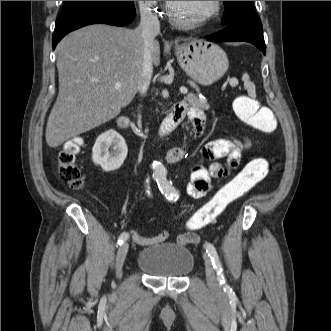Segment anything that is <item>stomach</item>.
I'll list each match as a JSON object with an SVG mask.
<instances>
[{
	"instance_id": "stomach-1",
	"label": "stomach",
	"mask_w": 331,
	"mask_h": 331,
	"mask_svg": "<svg viewBox=\"0 0 331 331\" xmlns=\"http://www.w3.org/2000/svg\"><path fill=\"white\" fill-rule=\"evenodd\" d=\"M176 55L183 70L193 80L205 86L219 80L229 67L224 50L217 44L203 39L179 45Z\"/></svg>"
}]
</instances>
